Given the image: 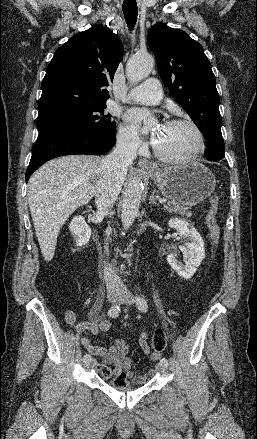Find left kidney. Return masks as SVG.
I'll return each instance as SVG.
<instances>
[{
    "mask_svg": "<svg viewBox=\"0 0 257 439\" xmlns=\"http://www.w3.org/2000/svg\"><path fill=\"white\" fill-rule=\"evenodd\" d=\"M168 226L176 229L188 242L185 243L187 247L185 264L179 262L174 254L167 256V262L179 276L190 279L205 258L204 241L197 230L185 220L172 218L168 221Z\"/></svg>",
    "mask_w": 257,
    "mask_h": 439,
    "instance_id": "5707ae66",
    "label": "left kidney"
}]
</instances>
